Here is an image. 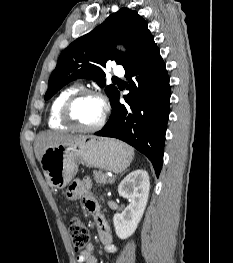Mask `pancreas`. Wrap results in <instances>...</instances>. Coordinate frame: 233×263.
Here are the masks:
<instances>
[{
	"label": "pancreas",
	"instance_id": "1",
	"mask_svg": "<svg viewBox=\"0 0 233 263\" xmlns=\"http://www.w3.org/2000/svg\"><path fill=\"white\" fill-rule=\"evenodd\" d=\"M93 177L96 183L106 184L107 182H112L109 180L107 174L103 173L102 171H94Z\"/></svg>",
	"mask_w": 233,
	"mask_h": 263
}]
</instances>
